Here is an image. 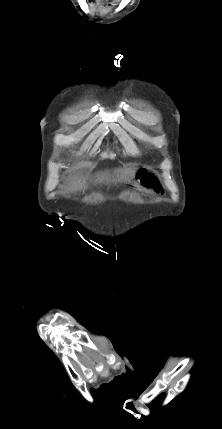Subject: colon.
Here are the masks:
<instances>
[{
    "mask_svg": "<svg viewBox=\"0 0 222 429\" xmlns=\"http://www.w3.org/2000/svg\"><path fill=\"white\" fill-rule=\"evenodd\" d=\"M136 180L139 184V186L148 189L153 190L156 192H160V182L156 175L149 169L141 168L137 174H136Z\"/></svg>",
    "mask_w": 222,
    "mask_h": 429,
    "instance_id": "5ec220e1",
    "label": "colon"
}]
</instances>
